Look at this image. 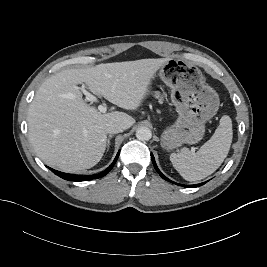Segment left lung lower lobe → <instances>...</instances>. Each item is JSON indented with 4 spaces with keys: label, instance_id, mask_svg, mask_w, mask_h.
<instances>
[{
    "label": "left lung lower lobe",
    "instance_id": "obj_1",
    "mask_svg": "<svg viewBox=\"0 0 267 267\" xmlns=\"http://www.w3.org/2000/svg\"><path fill=\"white\" fill-rule=\"evenodd\" d=\"M151 159H152V162H153V165H154L156 171L160 174V176H161L163 179H165V180H167V181H169V182H171V183L177 184V183L171 181L170 179H168L167 177H165V176L160 172V170L158 169V167H157V165H156L154 156H153L152 154H151ZM203 184H205V182H204V183H200V184H195V185H181V184H178V185H180V186H184V187H199V186H201V185H203Z\"/></svg>",
    "mask_w": 267,
    "mask_h": 267
}]
</instances>
